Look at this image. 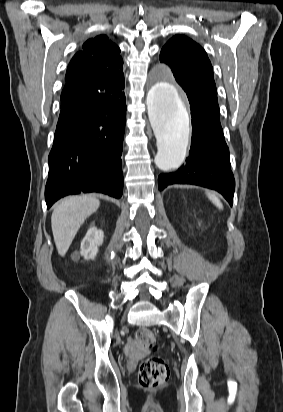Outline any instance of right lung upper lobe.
<instances>
[{
  "label": "right lung upper lobe",
  "instance_id": "obj_1",
  "mask_svg": "<svg viewBox=\"0 0 283 412\" xmlns=\"http://www.w3.org/2000/svg\"><path fill=\"white\" fill-rule=\"evenodd\" d=\"M119 54V47L105 35L86 41L68 66L61 104L79 92L97 88L102 82L123 85V61Z\"/></svg>",
  "mask_w": 283,
  "mask_h": 412
}]
</instances>
